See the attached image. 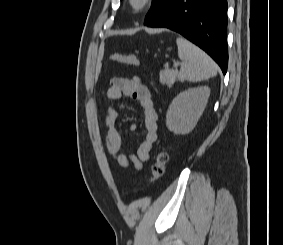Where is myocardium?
<instances>
[{
	"instance_id": "1",
	"label": "myocardium",
	"mask_w": 283,
	"mask_h": 245,
	"mask_svg": "<svg viewBox=\"0 0 283 245\" xmlns=\"http://www.w3.org/2000/svg\"><path fill=\"white\" fill-rule=\"evenodd\" d=\"M152 2L153 0H127L130 10L135 14L141 13L148 9Z\"/></svg>"
}]
</instances>
